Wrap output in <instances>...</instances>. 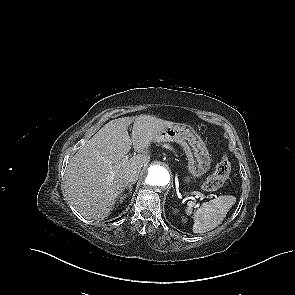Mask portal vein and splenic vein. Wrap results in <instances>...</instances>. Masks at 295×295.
I'll use <instances>...</instances> for the list:
<instances>
[{
	"label": "portal vein and splenic vein",
	"instance_id": "1",
	"mask_svg": "<svg viewBox=\"0 0 295 295\" xmlns=\"http://www.w3.org/2000/svg\"><path fill=\"white\" fill-rule=\"evenodd\" d=\"M192 195H195V197H200V198H204V195L200 192L197 191H193L191 192Z\"/></svg>",
	"mask_w": 295,
	"mask_h": 295
}]
</instances>
